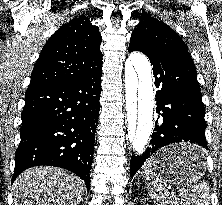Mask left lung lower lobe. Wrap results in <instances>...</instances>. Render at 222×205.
<instances>
[{
  "instance_id": "0a47b994",
  "label": "left lung lower lobe",
  "mask_w": 222,
  "mask_h": 205,
  "mask_svg": "<svg viewBox=\"0 0 222 205\" xmlns=\"http://www.w3.org/2000/svg\"><path fill=\"white\" fill-rule=\"evenodd\" d=\"M128 51H140L150 59L155 86L161 88L156 92V112H163V119L155 123L150 147L131 158V177L156 150L172 143L191 142L202 148L178 152L170 159L172 164L190 166L202 162L203 149H208L205 109L192 59L180 52L148 50L133 43Z\"/></svg>"
}]
</instances>
